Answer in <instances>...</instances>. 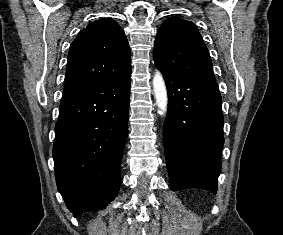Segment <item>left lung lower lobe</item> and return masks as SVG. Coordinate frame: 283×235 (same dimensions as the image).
<instances>
[{"label":"left lung lower lobe","mask_w":283,"mask_h":235,"mask_svg":"<svg viewBox=\"0 0 283 235\" xmlns=\"http://www.w3.org/2000/svg\"><path fill=\"white\" fill-rule=\"evenodd\" d=\"M161 72L168 92L163 140L171 190L201 188L216 193L224 144L218 85L173 71Z\"/></svg>","instance_id":"left-lung-lower-lobe-1"}]
</instances>
